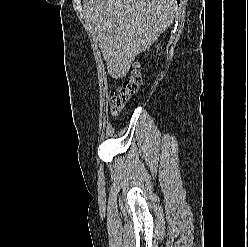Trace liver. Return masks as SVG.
I'll return each instance as SVG.
<instances>
[{
    "mask_svg": "<svg viewBox=\"0 0 248 247\" xmlns=\"http://www.w3.org/2000/svg\"><path fill=\"white\" fill-rule=\"evenodd\" d=\"M83 8L107 71L118 79L172 24L177 5L175 0H83Z\"/></svg>",
    "mask_w": 248,
    "mask_h": 247,
    "instance_id": "liver-1",
    "label": "liver"
}]
</instances>
